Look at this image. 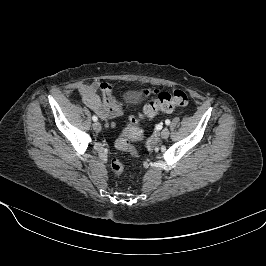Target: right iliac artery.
Segmentation results:
<instances>
[{
  "label": "right iliac artery",
  "mask_w": 266,
  "mask_h": 266,
  "mask_svg": "<svg viewBox=\"0 0 266 266\" xmlns=\"http://www.w3.org/2000/svg\"><path fill=\"white\" fill-rule=\"evenodd\" d=\"M92 119H93V121H95V122L98 120L97 116H95V115L92 117Z\"/></svg>",
  "instance_id": "obj_1"
}]
</instances>
